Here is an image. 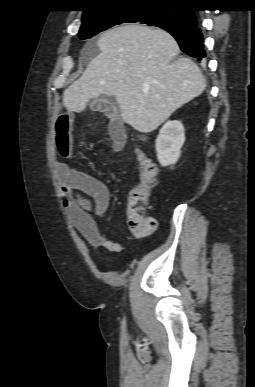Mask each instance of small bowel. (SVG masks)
<instances>
[{"instance_id": "c3829d8e", "label": "small bowel", "mask_w": 255, "mask_h": 387, "mask_svg": "<svg viewBox=\"0 0 255 387\" xmlns=\"http://www.w3.org/2000/svg\"><path fill=\"white\" fill-rule=\"evenodd\" d=\"M55 143L59 155L68 158L73 144V115H61L55 126ZM112 151H120L126 142V133L119 120L109 125ZM56 174L59 181V195L66 216L77 231L91 244L111 252H122L120 243L109 240L100 230L97 218H103L109 207L110 191L97 178L76 169L67 163L56 162Z\"/></svg>"}]
</instances>
